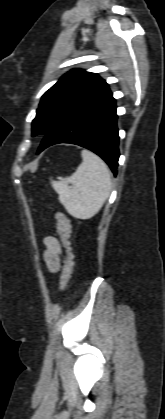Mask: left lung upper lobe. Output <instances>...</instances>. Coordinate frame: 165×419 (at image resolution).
I'll return each instance as SVG.
<instances>
[{
	"instance_id": "5c2ea615",
	"label": "left lung upper lobe",
	"mask_w": 165,
	"mask_h": 419,
	"mask_svg": "<svg viewBox=\"0 0 165 419\" xmlns=\"http://www.w3.org/2000/svg\"><path fill=\"white\" fill-rule=\"evenodd\" d=\"M108 88L99 75L74 69L63 75L41 98L32 122V136H46L77 105Z\"/></svg>"
}]
</instances>
